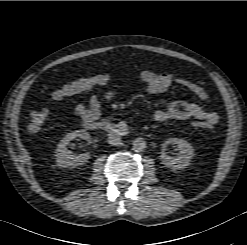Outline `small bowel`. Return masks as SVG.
<instances>
[{
    "mask_svg": "<svg viewBox=\"0 0 247 245\" xmlns=\"http://www.w3.org/2000/svg\"><path fill=\"white\" fill-rule=\"evenodd\" d=\"M139 78L144 85L145 92L149 95L165 92L174 83H177L196 95L206 107L197 103L185 101H173L165 109H158L154 112V119L158 122L168 120L186 121L194 119L196 121H206L215 125L218 122V115L212 110L211 100L208 93L193 81L176 77L172 73H157L152 70H142ZM119 93L118 87H111L101 95H93L87 104H77L74 106V113L83 122L95 121L101 116V107L105 102L114 100Z\"/></svg>",
    "mask_w": 247,
    "mask_h": 245,
    "instance_id": "obj_1",
    "label": "small bowel"
}]
</instances>
